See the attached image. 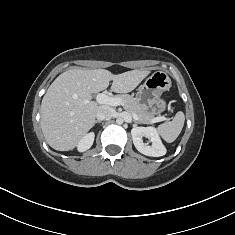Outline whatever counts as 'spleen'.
Listing matches in <instances>:
<instances>
[{"label": "spleen", "instance_id": "1", "mask_svg": "<svg viewBox=\"0 0 235 235\" xmlns=\"http://www.w3.org/2000/svg\"><path fill=\"white\" fill-rule=\"evenodd\" d=\"M184 121L185 116L183 112L179 111L172 121L159 125L158 132L166 142L171 143L175 141L181 133Z\"/></svg>", "mask_w": 235, "mask_h": 235}]
</instances>
